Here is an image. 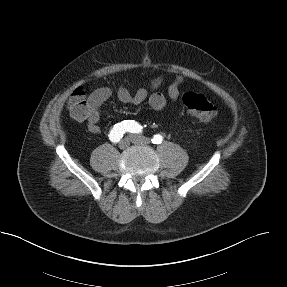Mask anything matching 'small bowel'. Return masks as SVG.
Segmentation results:
<instances>
[{"mask_svg": "<svg viewBox=\"0 0 287 287\" xmlns=\"http://www.w3.org/2000/svg\"><path fill=\"white\" fill-rule=\"evenodd\" d=\"M185 78L182 75L177 76L169 85L167 94L169 98L176 101L180 95V86L183 84ZM163 79L158 77L153 80L150 90L141 88L132 93L125 87H120L117 90V97L124 103L140 104L147 101L150 107L156 111H162L167 106L165 96L158 91ZM112 91L108 87H101L94 90L88 97L89 115L85 123L88 130L92 134L100 133L99 121L101 117L102 105L111 97Z\"/></svg>", "mask_w": 287, "mask_h": 287, "instance_id": "c3829d8e", "label": "small bowel"}]
</instances>
